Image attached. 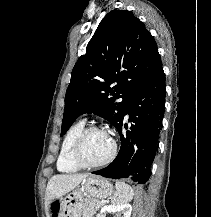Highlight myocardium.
Listing matches in <instances>:
<instances>
[{"label":"myocardium","mask_w":211,"mask_h":217,"mask_svg":"<svg viewBox=\"0 0 211 217\" xmlns=\"http://www.w3.org/2000/svg\"><path fill=\"white\" fill-rule=\"evenodd\" d=\"M92 131H104L109 134L112 141V149L110 154L105 159L99 162H89L84 156L85 141L88 134ZM116 153H117V144L114 138L110 135L108 131L95 125L85 127L77 137L73 147V159L75 163L79 165L81 168H97V167L105 166L115 158Z\"/></svg>","instance_id":"obj_1"}]
</instances>
